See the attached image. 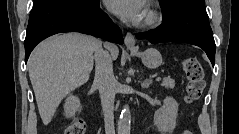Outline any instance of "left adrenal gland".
<instances>
[{
  "instance_id": "left-adrenal-gland-1",
  "label": "left adrenal gland",
  "mask_w": 239,
  "mask_h": 134,
  "mask_svg": "<svg viewBox=\"0 0 239 134\" xmlns=\"http://www.w3.org/2000/svg\"><path fill=\"white\" fill-rule=\"evenodd\" d=\"M151 84H152V79H146L141 83V86L142 88L148 89Z\"/></svg>"
}]
</instances>
